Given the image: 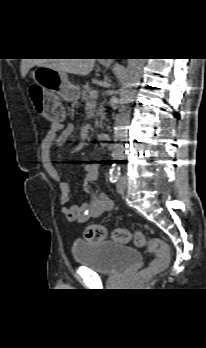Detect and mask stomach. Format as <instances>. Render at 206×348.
Masks as SVG:
<instances>
[{
	"mask_svg": "<svg viewBox=\"0 0 206 348\" xmlns=\"http://www.w3.org/2000/svg\"><path fill=\"white\" fill-rule=\"evenodd\" d=\"M35 86H38L42 93V104L36 103V111L46 115L49 111L50 98L60 97L66 101H77L80 97V89L72 84L68 75L49 67L38 66L32 72Z\"/></svg>",
	"mask_w": 206,
	"mask_h": 348,
	"instance_id": "stomach-1",
	"label": "stomach"
}]
</instances>
